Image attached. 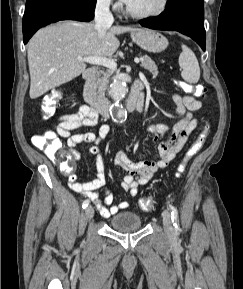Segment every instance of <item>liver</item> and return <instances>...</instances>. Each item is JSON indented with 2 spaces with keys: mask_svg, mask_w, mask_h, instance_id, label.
Here are the masks:
<instances>
[{
  "mask_svg": "<svg viewBox=\"0 0 243 289\" xmlns=\"http://www.w3.org/2000/svg\"><path fill=\"white\" fill-rule=\"evenodd\" d=\"M135 30L138 29L113 26L100 38L94 23L77 21H63L40 29L27 49L30 98L36 99L81 75L86 63L78 61L79 56L111 57L120 45L116 35Z\"/></svg>",
  "mask_w": 243,
  "mask_h": 289,
  "instance_id": "liver-1",
  "label": "liver"
}]
</instances>
